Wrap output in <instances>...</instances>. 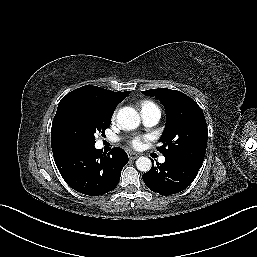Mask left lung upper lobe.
<instances>
[{"instance_id":"1","label":"left lung upper lobe","mask_w":257,"mask_h":257,"mask_svg":"<svg viewBox=\"0 0 257 257\" xmlns=\"http://www.w3.org/2000/svg\"><path fill=\"white\" fill-rule=\"evenodd\" d=\"M158 99L166 111V126L158 150L164 156H181L203 162L207 124L202 109L186 94L166 88L142 91Z\"/></svg>"}]
</instances>
